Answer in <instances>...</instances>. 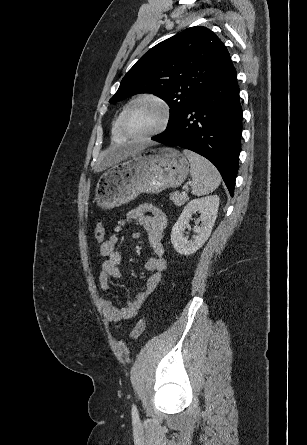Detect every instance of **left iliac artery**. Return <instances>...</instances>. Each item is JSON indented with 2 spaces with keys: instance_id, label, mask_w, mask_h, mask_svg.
<instances>
[{
  "instance_id": "obj_1",
  "label": "left iliac artery",
  "mask_w": 307,
  "mask_h": 445,
  "mask_svg": "<svg viewBox=\"0 0 307 445\" xmlns=\"http://www.w3.org/2000/svg\"><path fill=\"white\" fill-rule=\"evenodd\" d=\"M132 418H133V421H135V422L139 421L138 410H137L136 405H134V404L132 405Z\"/></svg>"
}]
</instances>
